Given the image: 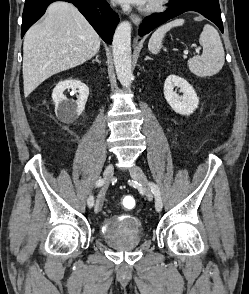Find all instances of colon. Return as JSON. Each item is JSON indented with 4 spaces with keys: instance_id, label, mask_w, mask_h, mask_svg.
Returning a JSON list of instances; mask_svg holds the SVG:
<instances>
[{
    "instance_id": "obj_1",
    "label": "colon",
    "mask_w": 249,
    "mask_h": 294,
    "mask_svg": "<svg viewBox=\"0 0 249 294\" xmlns=\"http://www.w3.org/2000/svg\"><path fill=\"white\" fill-rule=\"evenodd\" d=\"M121 202L125 209H132L136 205V200L131 196H124Z\"/></svg>"
}]
</instances>
